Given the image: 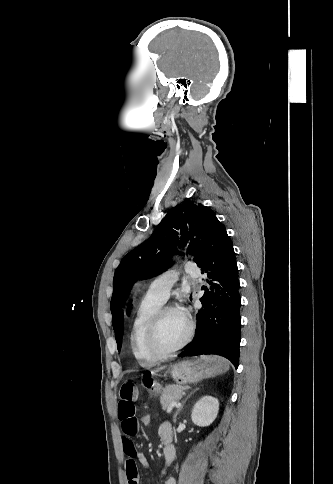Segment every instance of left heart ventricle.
I'll list each match as a JSON object with an SVG mask.
<instances>
[{
  "instance_id": "1",
  "label": "left heart ventricle",
  "mask_w": 333,
  "mask_h": 484,
  "mask_svg": "<svg viewBox=\"0 0 333 484\" xmlns=\"http://www.w3.org/2000/svg\"><path fill=\"white\" fill-rule=\"evenodd\" d=\"M188 332V321L178 311L166 313L159 328V344L169 350L180 344Z\"/></svg>"
}]
</instances>
